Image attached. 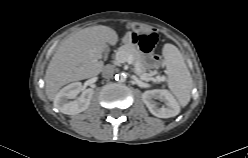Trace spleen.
<instances>
[{
    "label": "spleen",
    "mask_w": 248,
    "mask_h": 158,
    "mask_svg": "<svg viewBox=\"0 0 248 158\" xmlns=\"http://www.w3.org/2000/svg\"><path fill=\"white\" fill-rule=\"evenodd\" d=\"M168 85L181 106H186L191 98L193 80L178 48L165 44L163 48Z\"/></svg>",
    "instance_id": "3e777b00"
}]
</instances>
